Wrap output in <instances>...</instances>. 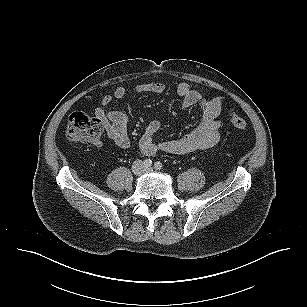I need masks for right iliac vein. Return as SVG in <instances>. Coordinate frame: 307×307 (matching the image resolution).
Listing matches in <instances>:
<instances>
[{"instance_id":"63e3f726","label":"right iliac vein","mask_w":307,"mask_h":307,"mask_svg":"<svg viewBox=\"0 0 307 307\" xmlns=\"http://www.w3.org/2000/svg\"><path fill=\"white\" fill-rule=\"evenodd\" d=\"M136 172H138V173H142V172H143V167H142V165L138 164V165L136 166Z\"/></svg>"}]
</instances>
